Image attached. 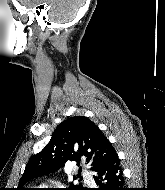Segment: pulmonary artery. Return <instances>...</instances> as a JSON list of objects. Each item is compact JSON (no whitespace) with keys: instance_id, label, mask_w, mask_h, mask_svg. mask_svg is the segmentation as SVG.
I'll return each mask as SVG.
<instances>
[{"instance_id":"1","label":"pulmonary artery","mask_w":165,"mask_h":190,"mask_svg":"<svg viewBox=\"0 0 165 190\" xmlns=\"http://www.w3.org/2000/svg\"><path fill=\"white\" fill-rule=\"evenodd\" d=\"M83 175L88 183L93 184V179L88 173L84 172Z\"/></svg>"}]
</instances>
